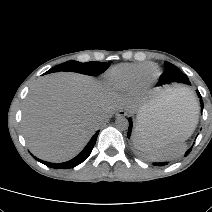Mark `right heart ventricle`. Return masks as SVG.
Here are the masks:
<instances>
[{"instance_id":"e07e8e85","label":"right heart ventricle","mask_w":212,"mask_h":212,"mask_svg":"<svg viewBox=\"0 0 212 212\" xmlns=\"http://www.w3.org/2000/svg\"><path fill=\"white\" fill-rule=\"evenodd\" d=\"M158 73V69L151 63L121 64L109 71L107 82L117 91H127L141 85L144 78H152Z\"/></svg>"}]
</instances>
